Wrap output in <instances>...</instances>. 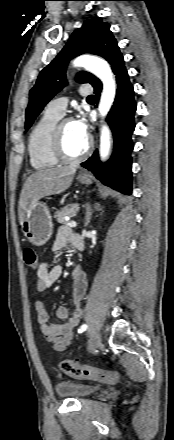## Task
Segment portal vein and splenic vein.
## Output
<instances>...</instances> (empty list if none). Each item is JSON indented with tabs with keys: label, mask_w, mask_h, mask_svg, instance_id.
<instances>
[{
	"label": "portal vein and splenic vein",
	"mask_w": 174,
	"mask_h": 440,
	"mask_svg": "<svg viewBox=\"0 0 174 440\" xmlns=\"http://www.w3.org/2000/svg\"><path fill=\"white\" fill-rule=\"evenodd\" d=\"M67 225H68L69 227H76V226H77V223H76L75 221H69V222L67 223Z\"/></svg>",
	"instance_id": "portal-vein-and-splenic-vein-1"
}]
</instances>
